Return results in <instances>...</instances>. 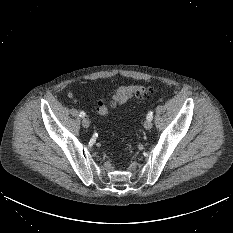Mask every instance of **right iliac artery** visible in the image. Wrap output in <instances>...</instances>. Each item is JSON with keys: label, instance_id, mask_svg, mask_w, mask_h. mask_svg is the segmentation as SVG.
<instances>
[{"label": "right iliac artery", "instance_id": "obj_1", "mask_svg": "<svg viewBox=\"0 0 233 233\" xmlns=\"http://www.w3.org/2000/svg\"><path fill=\"white\" fill-rule=\"evenodd\" d=\"M85 115H86V114H85V112H84V111H81V112H80V114H79V116H80V117H82V118H84V117H85Z\"/></svg>", "mask_w": 233, "mask_h": 233}]
</instances>
